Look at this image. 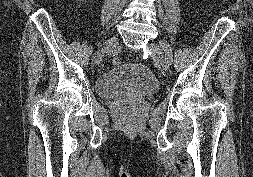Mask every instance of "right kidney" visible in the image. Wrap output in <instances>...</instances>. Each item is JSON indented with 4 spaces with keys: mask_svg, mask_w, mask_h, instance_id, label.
<instances>
[{
    "mask_svg": "<svg viewBox=\"0 0 253 177\" xmlns=\"http://www.w3.org/2000/svg\"><path fill=\"white\" fill-rule=\"evenodd\" d=\"M75 1H83V0H75Z\"/></svg>",
    "mask_w": 253,
    "mask_h": 177,
    "instance_id": "obj_1",
    "label": "right kidney"
}]
</instances>
